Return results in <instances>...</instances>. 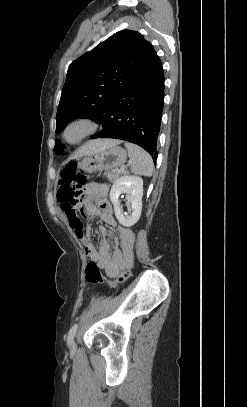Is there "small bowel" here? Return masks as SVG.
I'll return each instance as SVG.
<instances>
[{
  "label": "small bowel",
  "instance_id": "small-bowel-1",
  "mask_svg": "<svg viewBox=\"0 0 247 407\" xmlns=\"http://www.w3.org/2000/svg\"><path fill=\"white\" fill-rule=\"evenodd\" d=\"M109 187L105 184H89L82 201L61 203V209L68 219L76 238L84 248L86 256L98 264L109 278H116L133 264L134 233L126 227L117 225L113 217V207L108 200ZM80 216L86 220L99 217L105 224L116 230V249L111 251L108 237L111 232L100 226L101 242L97 248L92 242L90 227L84 228Z\"/></svg>",
  "mask_w": 247,
  "mask_h": 407
}]
</instances>
